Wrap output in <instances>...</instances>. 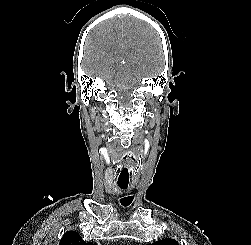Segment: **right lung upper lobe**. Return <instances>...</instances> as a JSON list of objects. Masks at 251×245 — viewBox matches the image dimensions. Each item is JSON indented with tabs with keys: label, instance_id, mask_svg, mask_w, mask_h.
Listing matches in <instances>:
<instances>
[{
	"label": "right lung upper lobe",
	"instance_id": "right-lung-upper-lobe-1",
	"mask_svg": "<svg viewBox=\"0 0 251 245\" xmlns=\"http://www.w3.org/2000/svg\"><path fill=\"white\" fill-rule=\"evenodd\" d=\"M59 245H96L95 243L85 242L81 236L78 235L75 231L66 232Z\"/></svg>",
	"mask_w": 251,
	"mask_h": 245
}]
</instances>
